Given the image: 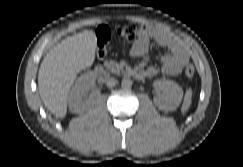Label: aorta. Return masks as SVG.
<instances>
[{
  "mask_svg": "<svg viewBox=\"0 0 243 167\" xmlns=\"http://www.w3.org/2000/svg\"><path fill=\"white\" fill-rule=\"evenodd\" d=\"M132 80L129 79V78H124L121 82V86L124 88V89H129L132 87Z\"/></svg>",
  "mask_w": 243,
  "mask_h": 167,
  "instance_id": "obj_1",
  "label": "aorta"
}]
</instances>
